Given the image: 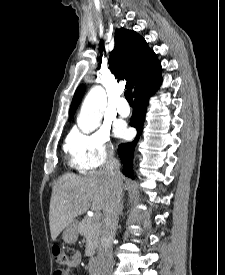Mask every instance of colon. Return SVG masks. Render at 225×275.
Segmentation results:
<instances>
[{"instance_id": "5ec220e1", "label": "colon", "mask_w": 225, "mask_h": 275, "mask_svg": "<svg viewBox=\"0 0 225 275\" xmlns=\"http://www.w3.org/2000/svg\"><path fill=\"white\" fill-rule=\"evenodd\" d=\"M52 255L54 262L59 265H67L72 257L68 250L58 246L53 248Z\"/></svg>"}]
</instances>
